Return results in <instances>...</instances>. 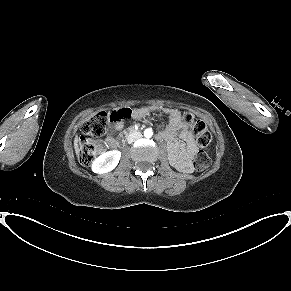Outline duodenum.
Here are the masks:
<instances>
[{
	"mask_svg": "<svg viewBox=\"0 0 291 291\" xmlns=\"http://www.w3.org/2000/svg\"><path fill=\"white\" fill-rule=\"evenodd\" d=\"M140 127L137 124L131 125L129 126V128L123 130V132H120L117 134L116 136V143H115V147L119 146L121 144H123L126 140V138L132 136V134L139 132Z\"/></svg>",
	"mask_w": 291,
	"mask_h": 291,
	"instance_id": "obj_1",
	"label": "duodenum"
}]
</instances>
